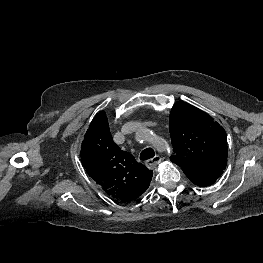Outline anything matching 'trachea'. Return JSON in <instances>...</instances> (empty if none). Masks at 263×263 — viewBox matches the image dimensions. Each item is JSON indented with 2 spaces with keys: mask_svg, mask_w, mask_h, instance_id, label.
<instances>
[{
  "mask_svg": "<svg viewBox=\"0 0 263 263\" xmlns=\"http://www.w3.org/2000/svg\"><path fill=\"white\" fill-rule=\"evenodd\" d=\"M155 155V152L152 148H146L144 149L140 154V160H148L150 158H153Z\"/></svg>",
  "mask_w": 263,
  "mask_h": 263,
  "instance_id": "3493384b",
  "label": "trachea"
}]
</instances>
